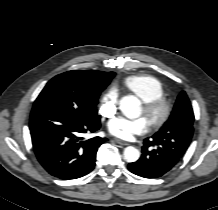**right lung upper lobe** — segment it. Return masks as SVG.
<instances>
[{
    "label": "right lung upper lobe",
    "mask_w": 218,
    "mask_h": 210,
    "mask_svg": "<svg viewBox=\"0 0 218 210\" xmlns=\"http://www.w3.org/2000/svg\"><path fill=\"white\" fill-rule=\"evenodd\" d=\"M86 86H107L114 77V72H102L96 70H73L65 72Z\"/></svg>",
    "instance_id": "obj_1"
}]
</instances>
